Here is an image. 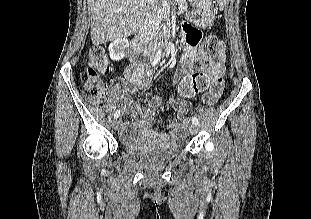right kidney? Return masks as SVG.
Masks as SVG:
<instances>
[{
    "instance_id": "1",
    "label": "right kidney",
    "mask_w": 311,
    "mask_h": 219,
    "mask_svg": "<svg viewBox=\"0 0 311 219\" xmlns=\"http://www.w3.org/2000/svg\"><path fill=\"white\" fill-rule=\"evenodd\" d=\"M129 48V41L126 38H117L109 45L110 58L113 61H120L124 58Z\"/></svg>"
}]
</instances>
